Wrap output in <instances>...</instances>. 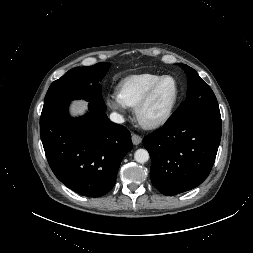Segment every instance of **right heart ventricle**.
Returning a JSON list of instances; mask_svg holds the SVG:
<instances>
[{
  "instance_id": "obj_1",
  "label": "right heart ventricle",
  "mask_w": 253,
  "mask_h": 253,
  "mask_svg": "<svg viewBox=\"0 0 253 253\" xmlns=\"http://www.w3.org/2000/svg\"><path fill=\"white\" fill-rule=\"evenodd\" d=\"M161 77V75L153 73L127 76L117 85V98L126 107H136L147 91Z\"/></svg>"
}]
</instances>
